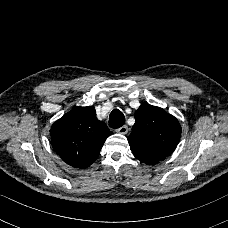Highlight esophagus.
<instances>
[{
    "instance_id": "1",
    "label": "esophagus",
    "mask_w": 228,
    "mask_h": 228,
    "mask_svg": "<svg viewBox=\"0 0 228 228\" xmlns=\"http://www.w3.org/2000/svg\"><path fill=\"white\" fill-rule=\"evenodd\" d=\"M128 130H129L128 129V126L127 125H123L120 128H118L116 130V132L119 133V134H127L128 133Z\"/></svg>"
}]
</instances>
